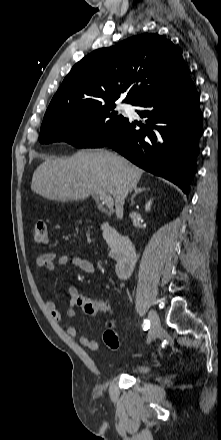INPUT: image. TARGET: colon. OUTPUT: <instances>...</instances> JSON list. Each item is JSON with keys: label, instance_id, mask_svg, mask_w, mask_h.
<instances>
[{"label": "colon", "instance_id": "1", "mask_svg": "<svg viewBox=\"0 0 221 440\" xmlns=\"http://www.w3.org/2000/svg\"><path fill=\"white\" fill-rule=\"evenodd\" d=\"M33 238L36 243L47 244L49 241L48 227L45 221H38L33 229ZM77 305L86 314L96 315L99 313L111 314V307L108 302L103 300L88 299L80 296L77 300ZM105 345L112 350L119 347V337L115 329L113 320L107 324V328L103 334Z\"/></svg>", "mask_w": 221, "mask_h": 440}]
</instances>
